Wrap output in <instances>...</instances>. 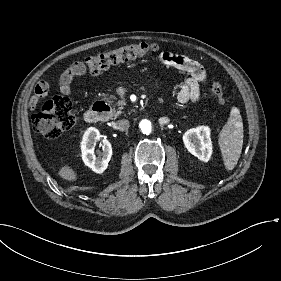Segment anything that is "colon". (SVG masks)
Wrapping results in <instances>:
<instances>
[{"mask_svg":"<svg viewBox=\"0 0 281 281\" xmlns=\"http://www.w3.org/2000/svg\"><path fill=\"white\" fill-rule=\"evenodd\" d=\"M158 50L156 44L134 43L123 45L115 50L103 52L74 64V71L81 73L88 71L98 74L111 67L128 62L132 59L146 57ZM212 92L221 105L227 103L223 86L214 82ZM75 123V116L71 109L70 101L63 96L56 95L48 100L42 109L33 115L32 124L34 129L47 139H55L69 131Z\"/></svg>","mask_w":281,"mask_h":281,"instance_id":"colon-1","label":"colon"}]
</instances>
